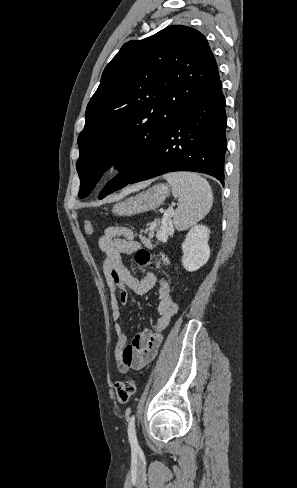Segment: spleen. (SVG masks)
Wrapping results in <instances>:
<instances>
[{
  "instance_id": "3e777b00",
  "label": "spleen",
  "mask_w": 297,
  "mask_h": 488,
  "mask_svg": "<svg viewBox=\"0 0 297 488\" xmlns=\"http://www.w3.org/2000/svg\"><path fill=\"white\" fill-rule=\"evenodd\" d=\"M164 178L172 186L173 196L179 199L174 212V225L178 230L189 228L210 211L213 196L207 180L185 172L168 173Z\"/></svg>"
}]
</instances>
